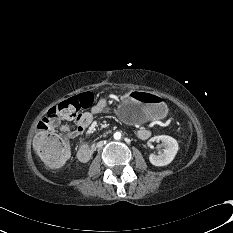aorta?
I'll return each instance as SVG.
<instances>
[{"mask_svg": "<svg viewBox=\"0 0 233 233\" xmlns=\"http://www.w3.org/2000/svg\"><path fill=\"white\" fill-rule=\"evenodd\" d=\"M114 139L115 140H120L121 139V133L120 132H115L114 133Z\"/></svg>", "mask_w": 233, "mask_h": 233, "instance_id": "aorta-1", "label": "aorta"}]
</instances>
